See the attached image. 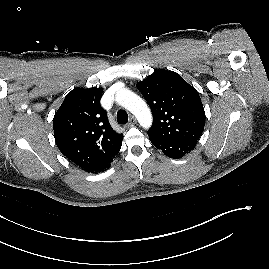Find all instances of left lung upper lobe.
I'll return each mask as SVG.
<instances>
[{
	"instance_id": "left-lung-upper-lobe-1",
	"label": "left lung upper lobe",
	"mask_w": 269,
	"mask_h": 269,
	"mask_svg": "<svg viewBox=\"0 0 269 269\" xmlns=\"http://www.w3.org/2000/svg\"><path fill=\"white\" fill-rule=\"evenodd\" d=\"M149 104L153 125L149 137L184 142L200 138L205 111L197 90L178 73L159 70L137 84Z\"/></svg>"
}]
</instances>
